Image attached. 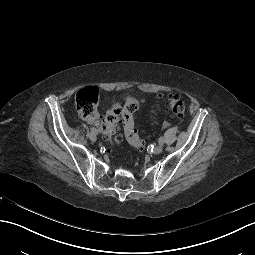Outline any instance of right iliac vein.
<instances>
[{"mask_svg": "<svg viewBox=\"0 0 255 255\" xmlns=\"http://www.w3.org/2000/svg\"><path fill=\"white\" fill-rule=\"evenodd\" d=\"M89 138H90V140H91L92 142H95L96 139H97L96 133L91 132V133L89 134Z\"/></svg>", "mask_w": 255, "mask_h": 255, "instance_id": "1", "label": "right iliac vein"}]
</instances>
